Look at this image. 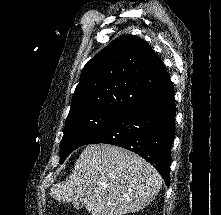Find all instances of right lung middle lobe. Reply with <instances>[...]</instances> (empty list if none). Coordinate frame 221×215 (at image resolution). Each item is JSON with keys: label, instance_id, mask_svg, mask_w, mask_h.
<instances>
[{"label": "right lung middle lobe", "instance_id": "right-lung-middle-lobe-1", "mask_svg": "<svg viewBox=\"0 0 221 215\" xmlns=\"http://www.w3.org/2000/svg\"><path fill=\"white\" fill-rule=\"evenodd\" d=\"M120 115L104 110H84L69 114L61 141V163L72 151L85 145L89 139L112 124Z\"/></svg>", "mask_w": 221, "mask_h": 215}]
</instances>
